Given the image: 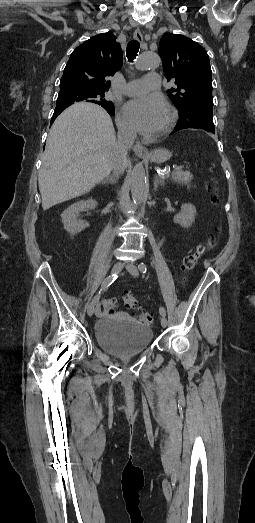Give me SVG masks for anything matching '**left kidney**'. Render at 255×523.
Segmentation results:
<instances>
[{
	"label": "left kidney",
	"mask_w": 255,
	"mask_h": 523,
	"mask_svg": "<svg viewBox=\"0 0 255 523\" xmlns=\"http://www.w3.org/2000/svg\"><path fill=\"white\" fill-rule=\"evenodd\" d=\"M196 208L192 204H183L180 214L174 216L175 224H180L183 228H189L195 220Z\"/></svg>",
	"instance_id": "5707ae66"
}]
</instances>
